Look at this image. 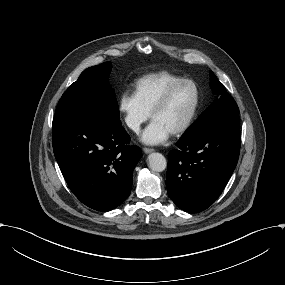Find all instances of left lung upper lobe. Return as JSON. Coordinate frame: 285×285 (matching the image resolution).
<instances>
[{
    "mask_svg": "<svg viewBox=\"0 0 285 285\" xmlns=\"http://www.w3.org/2000/svg\"><path fill=\"white\" fill-rule=\"evenodd\" d=\"M211 87L213 92L217 95V98L213 103L199 116V118L187 129L184 136L189 135L195 129L202 126L203 124L226 115L239 114V109L232 98L223 87V85L218 81L215 74L210 71Z\"/></svg>",
    "mask_w": 285,
    "mask_h": 285,
    "instance_id": "1",
    "label": "left lung upper lobe"
}]
</instances>
